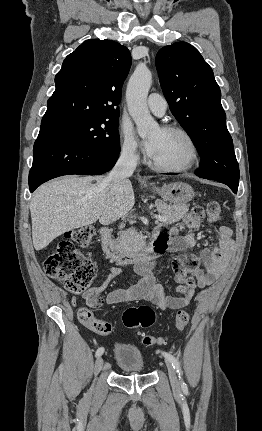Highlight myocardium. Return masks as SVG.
Here are the masks:
<instances>
[{"label":"myocardium","instance_id":"obj_1","mask_svg":"<svg viewBox=\"0 0 262 431\" xmlns=\"http://www.w3.org/2000/svg\"><path fill=\"white\" fill-rule=\"evenodd\" d=\"M162 130L167 132H174L181 135L188 143L189 154L184 163L179 165H163L155 162L151 158L148 160V164L155 170L167 173H179L190 170L197 161L198 158V146L193 136L183 127L174 124H167L161 127Z\"/></svg>","mask_w":262,"mask_h":431}]
</instances>
